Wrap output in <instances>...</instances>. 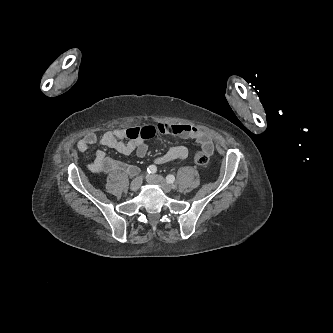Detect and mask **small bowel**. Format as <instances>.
Masks as SVG:
<instances>
[{
  "label": "small bowel",
  "instance_id": "small-bowel-1",
  "mask_svg": "<svg viewBox=\"0 0 333 333\" xmlns=\"http://www.w3.org/2000/svg\"><path fill=\"white\" fill-rule=\"evenodd\" d=\"M157 134L193 139L201 145L202 151L208 156H211L214 152L212 138L206 132L188 124L167 123H159L155 126L116 129L105 132L100 138H98L95 133H89L78 141L77 148L80 151H85L99 142L101 145L114 149L121 154L129 155L135 153L138 157H144L148 151L144 140L152 138ZM187 156V148L182 145H177L157 157L155 161L158 164H164L173 160L185 159ZM92 166V170L95 172H99L100 170L112 172L116 169H122L126 172L132 171L130 166L119 164L108 159L105 152L102 150L97 151Z\"/></svg>",
  "mask_w": 333,
  "mask_h": 333
}]
</instances>
